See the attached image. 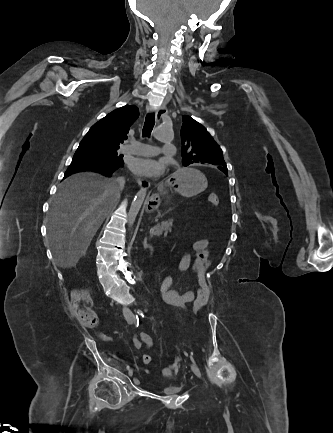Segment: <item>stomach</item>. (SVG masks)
I'll list each match as a JSON object with an SVG mask.
<instances>
[{
    "label": "stomach",
    "instance_id": "0dacf381",
    "mask_svg": "<svg viewBox=\"0 0 333 433\" xmlns=\"http://www.w3.org/2000/svg\"><path fill=\"white\" fill-rule=\"evenodd\" d=\"M204 169H176L175 174H170L169 181L176 185V191L186 197L195 196L207 187L205 180ZM163 193L158 192L153 196V199L149 202V209H154L156 204L159 203L158 198L163 196Z\"/></svg>",
    "mask_w": 333,
    "mask_h": 433
}]
</instances>
